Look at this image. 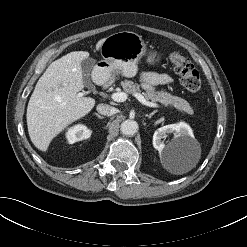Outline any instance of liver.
<instances>
[{
  "mask_svg": "<svg viewBox=\"0 0 247 247\" xmlns=\"http://www.w3.org/2000/svg\"><path fill=\"white\" fill-rule=\"evenodd\" d=\"M105 38L99 40V50ZM87 51H74L52 62L39 78L27 106L30 139L39 150L47 151L51 141L74 121L87 115L95 100L79 93L84 88L81 63Z\"/></svg>",
  "mask_w": 247,
  "mask_h": 247,
  "instance_id": "liver-1",
  "label": "liver"
}]
</instances>
